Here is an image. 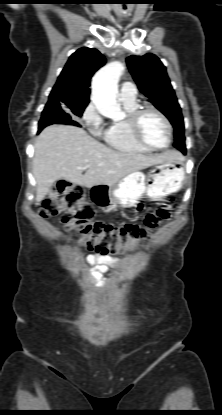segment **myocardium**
<instances>
[{
  "label": "myocardium",
  "mask_w": 222,
  "mask_h": 415,
  "mask_svg": "<svg viewBox=\"0 0 222 415\" xmlns=\"http://www.w3.org/2000/svg\"><path fill=\"white\" fill-rule=\"evenodd\" d=\"M148 112H153L155 114H157L165 123L166 128H167V132H168V140L167 143L164 146H154L150 143H148L143 135H142V131H141V119L143 117V115L145 113ZM127 121L131 130V133L133 135V137L135 138V140L141 144L142 146L150 149V150H154V151H160V150H164L167 149L172 142V138H173V128H172V124L169 120V118L158 108L152 106V105H142L137 107L134 111H132L131 113H129L127 115Z\"/></svg>",
  "instance_id": "obj_1"
}]
</instances>
